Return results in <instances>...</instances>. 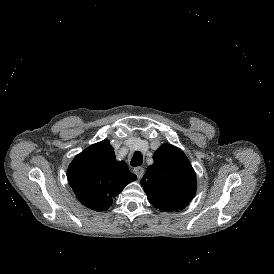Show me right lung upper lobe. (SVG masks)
I'll return each mask as SVG.
<instances>
[{
	"instance_id": "right-lung-upper-lobe-1",
	"label": "right lung upper lobe",
	"mask_w": 274,
	"mask_h": 274,
	"mask_svg": "<svg viewBox=\"0 0 274 274\" xmlns=\"http://www.w3.org/2000/svg\"><path fill=\"white\" fill-rule=\"evenodd\" d=\"M67 177L77 199L95 211H105L124 187L136 180L124 161L118 162L108 140L89 146L71 162Z\"/></svg>"
}]
</instances>
